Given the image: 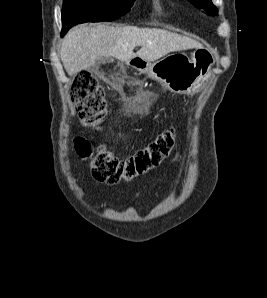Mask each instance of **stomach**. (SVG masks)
I'll return each mask as SVG.
<instances>
[{
	"instance_id": "1",
	"label": "stomach",
	"mask_w": 267,
	"mask_h": 298,
	"mask_svg": "<svg viewBox=\"0 0 267 298\" xmlns=\"http://www.w3.org/2000/svg\"><path fill=\"white\" fill-rule=\"evenodd\" d=\"M216 61L215 52L209 48H196L191 57L183 53L169 55L154 63L138 57L136 67L141 73L175 94H193L208 80ZM129 61L128 63H130Z\"/></svg>"
}]
</instances>
